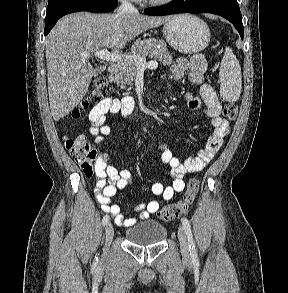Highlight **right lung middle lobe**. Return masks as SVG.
Listing matches in <instances>:
<instances>
[{
  "instance_id": "obj_1",
  "label": "right lung middle lobe",
  "mask_w": 288,
  "mask_h": 293,
  "mask_svg": "<svg viewBox=\"0 0 288 293\" xmlns=\"http://www.w3.org/2000/svg\"><path fill=\"white\" fill-rule=\"evenodd\" d=\"M69 1H73V0H49L48 2V6H47V10H50L58 5H61L63 3L69 2ZM99 2H111V1H116V0H96Z\"/></svg>"
}]
</instances>
